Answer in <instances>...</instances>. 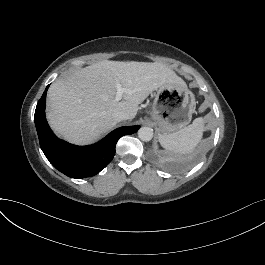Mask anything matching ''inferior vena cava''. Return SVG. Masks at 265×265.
<instances>
[{"instance_id":"602c4592","label":"inferior vena cava","mask_w":265,"mask_h":265,"mask_svg":"<svg viewBox=\"0 0 265 265\" xmlns=\"http://www.w3.org/2000/svg\"><path fill=\"white\" fill-rule=\"evenodd\" d=\"M112 118L116 121V122H120L123 120H128L130 118L129 113L125 112V111H117L114 112L112 114Z\"/></svg>"}]
</instances>
